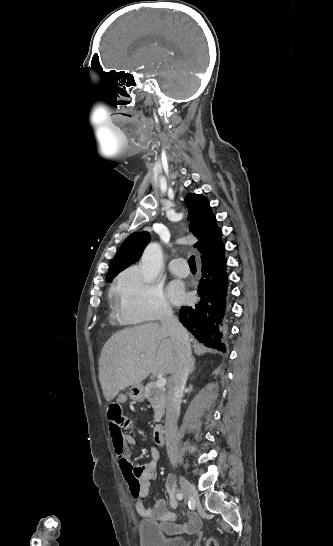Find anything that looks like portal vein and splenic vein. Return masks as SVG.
I'll return each mask as SVG.
<instances>
[{
  "instance_id": "portal-vein-and-splenic-vein-1",
  "label": "portal vein and splenic vein",
  "mask_w": 333,
  "mask_h": 546,
  "mask_svg": "<svg viewBox=\"0 0 333 546\" xmlns=\"http://www.w3.org/2000/svg\"><path fill=\"white\" fill-rule=\"evenodd\" d=\"M156 385L160 388H163L166 385V378L161 377L156 381Z\"/></svg>"
}]
</instances>
